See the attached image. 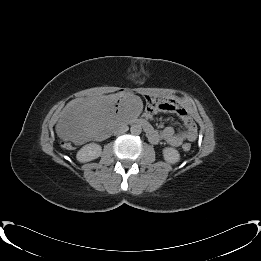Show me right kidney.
<instances>
[{"mask_svg":"<svg viewBox=\"0 0 261 261\" xmlns=\"http://www.w3.org/2000/svg\"><path fill=\"white\" fill-rule=\"evenodd\" d=\"M102 153V147L97 143L84 145L76 155L79 162L85 163L98 158Z\"/></svg>","mask_w":261,"mask_h":261,"instance_id":"ca27d5eb","label":"right kidney"}]
</instances>
